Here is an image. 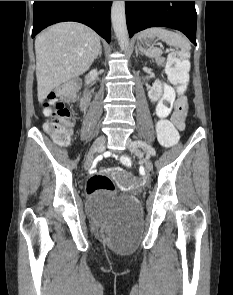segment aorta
<instances>
[{
	"label": "aorta",
	"mask_w": 233,
	"mask_h": 295,
	"mask_svg": "<svg viewBox=\"0 0 233 295\" xmlns=\"http://www.w3.org/2000/svg\"><path fill=\"white\" fill-rule=\"evenodd\" d=\"M111 21L120 48L126 50L129 45V35L126 25L125 1H113Z\"/></svg>",
	"instance_id": "aorta-1"
}]
</instances>
